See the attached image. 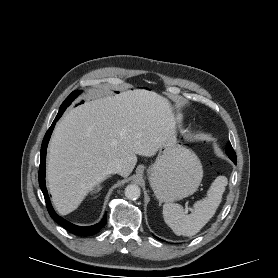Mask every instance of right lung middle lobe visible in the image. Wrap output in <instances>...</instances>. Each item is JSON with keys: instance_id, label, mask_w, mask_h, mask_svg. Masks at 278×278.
<instances>
[{"instance_id": "right-lung-middle-lobe-1", "label": "right lung middle lobe", "mask_w": 278, "mask_h": 278, "mask_svg": "<svg viewBox=\"0 0 278 278\" xmlns=\"http://www.w3.org/2000/svg\"><path fill=\"white\" fill-rule=\"evenodd\" d=\"M80 93V91H73L67 99L62 103L60 109H66L67 106L71 104V102L76 98V96Z\"/></svg>"}]
</instances>
